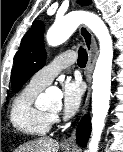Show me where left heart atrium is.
I'll use <instances>...</instances> for the list:
<instances>
[{"mask_svg": "<svg viewBox=\"0 0 123 152\" xmlns=\"http://www.w3.org/2000/svg\"><path fill=\"white\" fill-rule=\"evenodd\" d=\"M82 88L77 81H66L63 84V104L62 111L66 118L73 116L81 103Z\"/></svg>", "mask_w": 123, "mask_h": 152, "instance_id": "39dd6f15", "label": "left heart atrium"}]
</instances>
